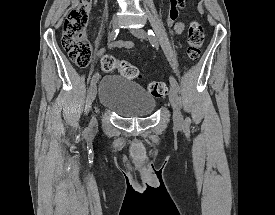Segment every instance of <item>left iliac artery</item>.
Segmentation results:
<instances>
[{"mask_svg": "<svg viewBox=\"0 0 275 215\" xmlns=\"http://www.w3.org/2000/svg\"><path fill=\"white\" fill-rule=\"evenodd\" d=\"M148 37H149V41L152 44V46L157 47L158 42H157L156 36L152 30H148ZM169 81H170L171 86L174 87L177 91H179V86H178V83L175 80V78L170 76Z\"/></svg>", "mask_w": 275, "mask_h": 215, "instance_id": "44dca946", "label": "left iliac artery"}]
</instances>
